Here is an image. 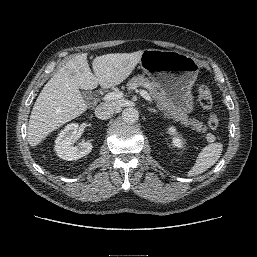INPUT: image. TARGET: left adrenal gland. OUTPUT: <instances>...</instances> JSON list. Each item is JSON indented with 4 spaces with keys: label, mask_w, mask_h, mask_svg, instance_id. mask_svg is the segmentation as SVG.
I'll use <instances>...</instances> for the list:
<instances>
[{
    "label": "left adrenal gland",
    "mask_w": 257,
    "mask_h": 257,
    "mask_svg": "<svg viewBox=\"0 0 257 257\" xmlns=\"http://www.w3.org/2000/svg\"><path fill=\"white\" fill-rule=\"evenodd\" d=\"M148 111L153 112V113H156V112H157V111H156L155 109H153V108H148Z\"/></svg>",
    "instance_id": "a2214340"
}]
</instances>
